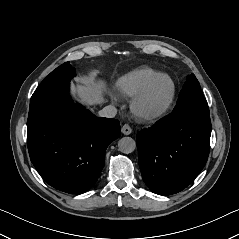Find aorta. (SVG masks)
Returning <instances> with one entry per match:
<instances>
[{"label": "aorta", "mask_w": 239, "mask_h": 239, "mask_svg": "<svg viewBox=\"0 0 239 239\" xmlns=\"http://www.w3.org/2000/svg\"><path fill=\"white\" fill-rule=\"evenodd\" d=\"M118 148L122 153H132L136 148V142L131 137H122L118 142Z\"/></svg>", "instance_id": "obj_1"}]
</instances>
